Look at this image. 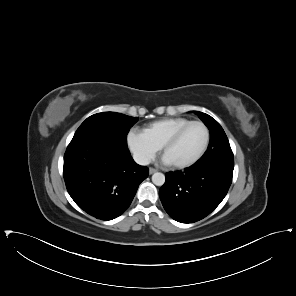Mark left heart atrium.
<instances>
[{"instance_id": "39dd6f15", "label": "left heart atrium", "mask_w": 296, "mask_h": 296, "mask_svg": "<svg viewBox=\"0 0 296 296\" xmlns=\"http://www.w3.org/2000/svg\"><path fill=\"white\" fill-rule=\"evenodd\" d=\"M163 162H164L165 164H170L169 161H168L165 157H163Z\"/></svg>"}]
</instances>
